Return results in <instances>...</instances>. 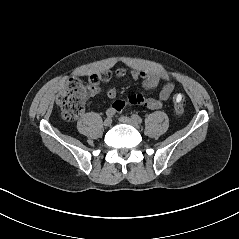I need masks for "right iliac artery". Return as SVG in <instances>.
I'll return each instance as SVG.
<instances>
[{
	"label": "right iliac artery",
	"mask_w": 239,
	"mask_h": 239,
	"mask_svg": "<svg viewBox=\"0 0 239 239\" xmlns=\"http://www.w3.org/2000/svg\"><path fill=\"white\" fill-rule=\"evenodd\" d=\"M115 110L114 109H112V108H109L107 111H106V116L107 117H109V118H111V117H113L114 115H115Z\"/></svg>",
	"instance_id": "right-iliac-artery-1"
}]
</instances>
